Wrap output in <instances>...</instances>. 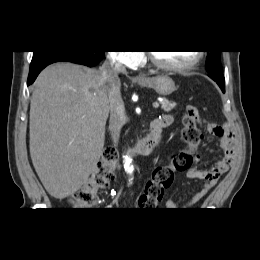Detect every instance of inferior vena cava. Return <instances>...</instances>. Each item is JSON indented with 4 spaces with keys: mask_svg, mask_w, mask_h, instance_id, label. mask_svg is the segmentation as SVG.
I'll return each instance as SVG.
<instances>
[{
    "mask_svg": "<svg viewBox=\"0 0 260 260\" xmlns=\"http://www.w3.org/2000/svg\"><path fill=\"white\" fill-rule=\"evenodd\" d=\"M125 66L116 54H108L107 59L100 68L101 81L106 87V95L109 102L110 120L109 128L114 141L119 139L123 126L124 104L120 92L119 73L124 72Z\"/></svg>",
    "mask_w": 260,
    "mask_h": 260,
    "instance_id": "1",
    "label": "inferior vena cava"
}]
</instances>
